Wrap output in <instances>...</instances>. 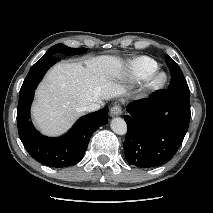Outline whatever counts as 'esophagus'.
I'll use <instances>...</instances> for the list:
<instances>
[{
	"label": "esophagus",
	"mask_w": 213,
	"mask_h": 213,
	"mask_svg": "<svg viewBox=\"0 0 213 213\" xmlns=\"http://www.w3.org/2000/svg\"><path fill=\"white\" fill-rule=\"evenodd\" d=\"M122 114V108L120 105H114L110 109V115L111 116H119Z\"/></svg>",
	"instance_id": "obj_1"
}]
</instances>
